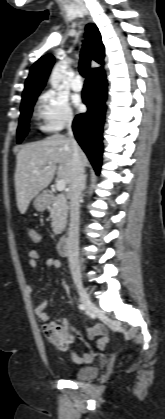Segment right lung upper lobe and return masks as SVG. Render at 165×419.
I'll use <instances>...</instances> for the list:
<instances>
[{
  "label": "right lung upper lobe",
  "mask_w": 165,
  "mask_h": 419,
  "mask_svg": "<svg viewBox=\"0 0 165 419\" xmlns=\"http://www.w3.org/2000/svg\"><path fill=\"white\" fill-rule=\"evenodd\" d=\"M87 39L90 45L91 57L96 62L103 64L104 46L101 41V35L95 24H88L86 26ZM54 63V57L47 54L35 62L31 69L28 78L25 82V88L22 95V101L39 94L45 86L47 77ZM102 68H92L90 72L101 70Z\"/></svg>",
  "instance_id": "obj_1"
}]
</instances>
